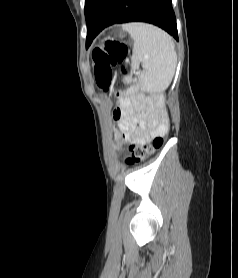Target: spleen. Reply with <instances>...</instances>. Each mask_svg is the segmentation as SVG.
I'll list each match as a JSON object with an SVG mask.
<instances>
[{"mask_svg": "<svg viewBox=\"0 0 238 278\" xmlns=\"http://www.w3.org/2000/svg\"><path fill=\"white\" fill-rule=\"evenodd\" d=\"M122 29L134 40L132 70L135 72L139 64H143L144 70L136 71L139 81L151 91H164L173 79L177 64L172 37L146 23H127Z\"/></svg>", "mask_w": 238, "mask_h": 278, "instance_id": "3e777b00", "label": "spleen"}]
</instances>
